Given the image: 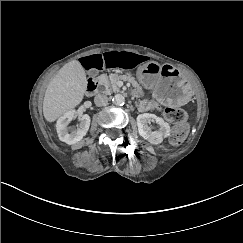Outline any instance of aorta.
<instances>
[{
    "label": "aorta",
    "instance_id": "762f6f07",
    "mask_svg": "<svg viewBox=\"0 0 243 243\" xmlns=\"http://www.w3.org/2000/svg\"><path fill=\"white\" fill-rule=\"evenodd\" d=\"M113 103L117 106H122L124 103H125V98L123 95L121 94H116L114 97H113Z\"/></svg>",
    "mask_w": 243,
    "mask_h": 243
}]
</instances>
